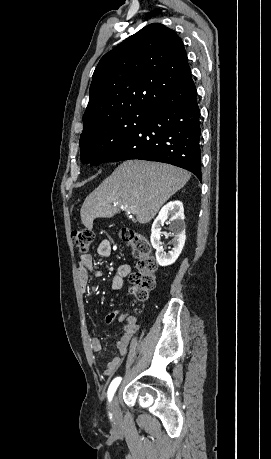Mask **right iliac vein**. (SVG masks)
Masks as SVG:
<instances>
[{"label": "right iliac vein", "mask_w": 271, "mask_h": 459, "mask_svg": "<svg viewBox=\"0 0 271 459\" xmlns=\"http://www.w3.org/2000/svg\"><path fill=\"white\" fill-rule=\"evenodd\" d=\"M110 410H111V415L115 418V419H119L120 416H121V413H120V408H119V403H118V396L115 395L113 397V400H112V403H111V407H110Z\"/></svg>", "instance_id": "1"}]
</instances>
